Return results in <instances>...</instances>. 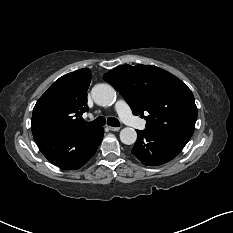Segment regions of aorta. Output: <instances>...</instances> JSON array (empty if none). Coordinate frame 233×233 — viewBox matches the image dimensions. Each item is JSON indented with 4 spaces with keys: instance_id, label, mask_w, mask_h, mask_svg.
Masks as SVG:
<instances>
[{
    "instance_id": "1",
    "label": "aorta",
    "mask_w": 233,
    "mask_h": 233,
    "mask_svg": "<svg viewBox=\"0 0 233 233\" xmlns=\"http://www.w3.org/2000/svg\"><path fill=\"white\" fill-rule=\"evenodd\" d=\"M92 97L100 106H109L116 99L114 88L108 84H99L92 88ZM137 133L135 129L126 127L120 132V140L126 145H131L136 142Z\"/></svg>"
}]
</instances>
